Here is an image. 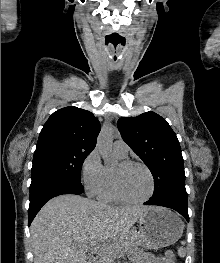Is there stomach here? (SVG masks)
Here are the masks:
<instances>
[{"mask_svg":"<svg viewBox=\"0 0 220 263\" xmlns=\"http://www.w3.org/2000/svg\"><path fill=\"white\" fill-rule=\"evenodd\" d=\"M142 245L166 247L176 243L183 234L184 224L172 211L152 207L138 219Z\"/></svg>","mask_w":220,"mask_h":263,"instance_id":"obj_1","label":"stomach"}]
</instances>
